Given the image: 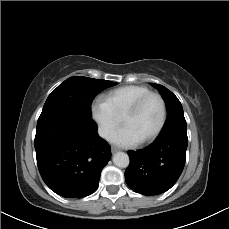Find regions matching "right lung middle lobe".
Listing matches in <instances>:
<instances>
[{
  "mask_svg": "<svg viewBox=\"0 0 229 229\" xmlns=\"http://www.w3.org/2000/svg\"><path fill=\"white\" fill-rule=\"evenodd\" d=\"M116 84L103 79L70 77L48 96L40 116L67 112L91 118V103L95 96Z\"/></svg>",
  "mask_w": 229,
  "mask_h": 229,
  "instance_id": "obj_1",
  "label": "right lung middle lobe"
}]
</instances>
